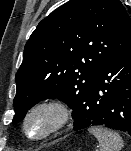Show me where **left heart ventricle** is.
Listing matches in <instances>:
<instances>
[{"mask_svg":"<svg viewBox=\"0 0 131 151\" xmlns=\"http://www.w3.org/2000/svg\"><path fill=\"white\" fill-rule=\"evenodd\" d=\"M53 121V116L48 112L34 115L28 122V132L31 135H40L45 132Z\"/></svg>","mask_w":131,"mask_h":151,"instance_id":"left-heart-ventricle-1","label":"left heart ventricle"}]
</instances>
